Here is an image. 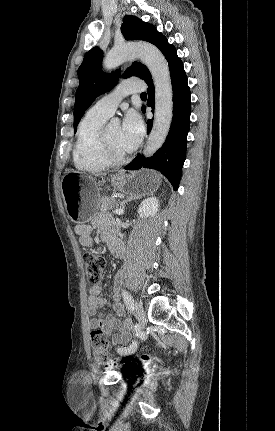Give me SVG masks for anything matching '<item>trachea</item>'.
Returning a JSON list of instances; mask_svg holds the SVG:
<instances>
[{
	"label": "trachea",
	"instance_id": "3493384b",
	"mask_svg": "<svg viewBox=\"0 0 275 431\" xmlns=\"http://www.w3.org/2000/svg\"><path fill=\"white\" fill-rule=\"evenodd\" d=\"M141 97H147V94L146 93H142Z\"/></svg>",
	"mask_w": 275,
	"mask_h": 431
}]
</instances>
